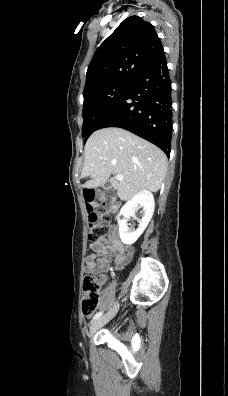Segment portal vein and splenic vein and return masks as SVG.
<instances>
[{
	"mask_svg": "<svg viewBox=\"0 0 228 396\" xmlns=\"http://www.w3.org/2000/svg\"><path fill=\"white\" fill-rule=\"evenodd\" d=\"M115 178H116V180H118V181L124 180V176L121 175V174H117Z\"/></svg>",
	"mask_w": 228,
	"mask_h": 396,
	"instance_id": "portal-vein-and-splenic-vein-1",
	"label": "portal vein and splenic vein"
}]
</instances>
